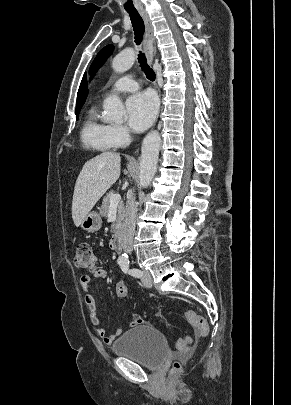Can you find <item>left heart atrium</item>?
Instances as JSON below:
<instances>
[{
    "mask_svg": "<svg viewBox=\"0 0 291 405\" xmlns=\"http://www.w3.org/2000/svg\"><path fill=\"white\" fill-rule=\"evenodd\" d=\"M126 109L131 128L143 131L151 125L156 116L157 102L152 93L141 92L127 100Z\"/></svg>",
    "mask_w": 291,
    "mask_h": 405,
    "instance_id": "39dd6f15",
    "label": "left heart atrium"
}]
</instances>
